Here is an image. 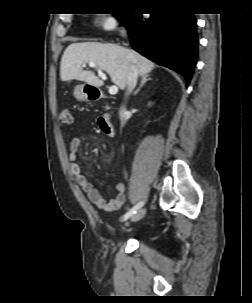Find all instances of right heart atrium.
<instances>
[{"instance_id": "d8ad5b80", "label": "right heart atrium", "mask_w": 252, "mask_h": 303, "mask_svg": "<svg viewBox=\"0 0 252 303\" xmlns=\"http://www.w3.org/2000/svg\"><path fill=\"white\" fill-rule=\"evenodd\" d=\"M98 23L106 31L118 30L120 28L117 18L110 15L101 16L98 19Z\"/></svg>"}]
</instances>
